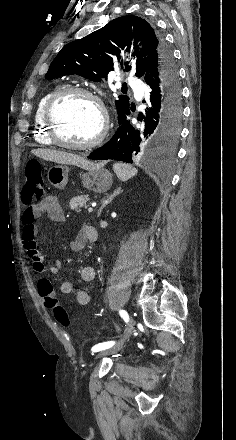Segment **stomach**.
Instances as JSON below:
<instances>
[{
    "label": "stomach",
    "mask_w": 236,
    "mask_h": 440,
    "mask_svg": "<svg viewBox=\"0 0 236 440\" xmlns=\"http://www.w3.org/2000/svg\"><path fill=\"white\" fill-rule=\"evenodd\" d=\"M82 174V184L85 188L96 193L106 192L112 185V174L107 169L96 166ZM70 169L66 165H54L48 170L47 177L51 185L58 189H63L68 182Z\"/></svg>",
    "instance_id": "1"
}]
</instances>
